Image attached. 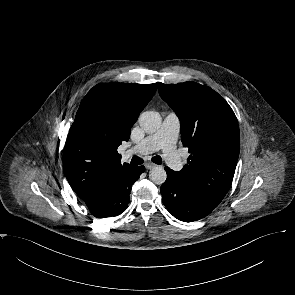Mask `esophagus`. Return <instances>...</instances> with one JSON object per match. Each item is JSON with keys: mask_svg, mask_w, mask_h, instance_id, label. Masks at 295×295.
<instances>
[{"mask_svg": "<svg viewBox=\"0 0 295 295\" xmlns=\"http://www.w3.org/2000/svg\"><path fill=\"white\" fill-rule=\"evenodd\" d=\"M156 166H157L156 164L151 163V162H148V163L145 164V167H146L147 169H152V168H154V167H156Z\"/></svg>", "mask_w": 295, "mask_h": 295, "instance_id": "obj_1", "label": "esophagus"}]
</instances>
